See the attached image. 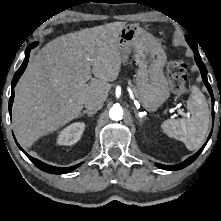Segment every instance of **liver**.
I'll return each instance as SVG.
<instances>
[{"label": "liver", "instance_id": "liver-1", "mask_svg": "<svg viewBox=\"0 0 221 221\" xmlns=\"http://www.w3.org/2000/svg\"><path fill=\"white\" fill-rule=\"evenodd\" d=\"M124 26L114 22L57 37L30 59L12 108L14 131L23 146L78 117L89 98L107 99L109 82L121 70L118 38Z\"/></svg>", "mask_w": 221, "mask_h": 221}]
</instances>
